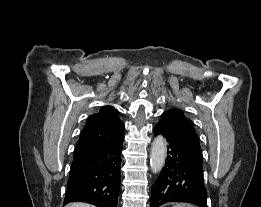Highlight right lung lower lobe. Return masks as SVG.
I'll return each instance as SVG.
<instances>
[{
    "label": "right lung lower lobe",
    "mask_w": 261,
    "mask_h": 207,
    "mask_svg": "<svg viewBox=\"0 0 261 207\" xmlns=\"http://www.w3.org/2000/svg\"><path fill=\"white\" fill-rule=\"evenodd\" d=\"M123 139L74 154L64 205L80 201L97 207H117Z\"/></svg>",
    "instance_id": "right-lung-lower-lobe-1"
}]
</instances>
